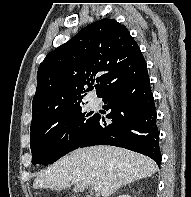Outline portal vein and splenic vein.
I'll return each mask as SVG.
<instances>
[{
    "label": "portal vein and splenic vein",
    "instance_id": "1",
    "mask_svg": "<svg viewBox=\"0 0 191 197\" xmlns=\"http://www.w3.org/2000/svg\"><path fill=\"white\" fill-rule=\"evenodd\" d=\"M101 187H102L101 184H95L93 189L95 192H99L101 190Z\"/></svg>",
    "mask_w": 191,
    "mask_h": 197
}]
</instances>
